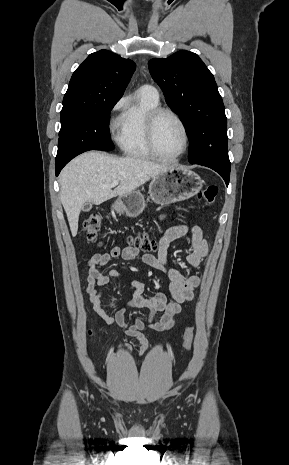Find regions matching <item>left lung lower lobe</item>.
Here are the masks:
<instances>
[{"instance_id": "obj_1", "label": "left lung lower lobe", "mask_w": 289, "mask_h": 465, "mask_svg": "<svg viewBox=\"0 0 289 465\" xmlns=\"http://www.w3.org/2000/svg\"><path fill=\"white\" fill-rule=\"evenodd\" d=\"M192 164L203 165V166H206V167H209L215 170L217 173H219L222 176V178L225 180L226 185L228 186L229 177H230V165H222V164L213 163V162H195Z\"/></svg>"}]
</instances>
